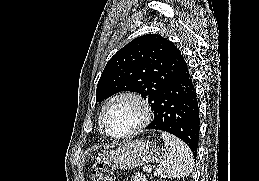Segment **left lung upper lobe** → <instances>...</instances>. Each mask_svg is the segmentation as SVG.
<instances>
[{
  "label": "left lung upper lobe",
  "mask_w": 259,
  "mask_h": 181,
  "mask_svg": "<svg viewBox=\"0 0 259 181\" xmlns=\"http://www.w3.org/2000/svg\"><path fill=\"white\" fill-rule=\"evenodd\" d=\"M177 47L158 34L135 38L107 63L97 84L96 102L121 91H133L148 99L152 109L180 71Z\"/></svg>",
  "instance_id": "1"
}]
</instances>
